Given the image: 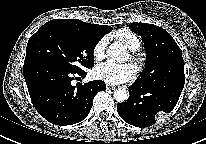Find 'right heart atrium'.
I'll return each mask as SVG.
<instances>
[{"label": "right heart atrium", "instance_id": "right-heart-atrium-1", "mask_svg": "<svg viewBox=\"0 0 206 144\" xmlns=\"http://www.w3.org/2000/svg\"><path fill=\"white\" fill-rule=\"evenodd\" d=\"M107 38H101L93 48V56L96 60H102L105 57Z\"/></svg>", "mask_w": 206, "mask_h": 144}]
</instances>
